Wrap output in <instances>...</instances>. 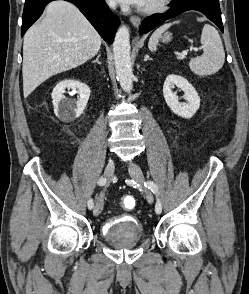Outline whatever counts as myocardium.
<instances>
[{
	"label": "myocardium",
	"instance_id": "obj_1",
	"mask_svg": "<svg viewBox=\"0 0 249 294\" xmlns=\"http://www.w3.org/2000/svg\"><path fill=\"white\" fill-rule=\"evenodd\" d=\"M170 2L171 0H159L149 6L141 8V11L148 14L157 13L164 10Z\"/></svg>",
	"mask_w": 249,
	"mask_h": 294
}]
</instances>
